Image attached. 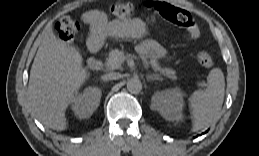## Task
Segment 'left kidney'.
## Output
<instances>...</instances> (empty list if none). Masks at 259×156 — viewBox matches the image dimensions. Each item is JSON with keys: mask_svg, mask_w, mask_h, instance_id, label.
I'll use <instances>...</instances> for the list:
<instances>
[{"mask_svg": "<svg viewBox=\"0 0 259 156\" xmlns=\"http://www.w3.org/2000/svg\"><path fill=\"white\" fill-rule=\"evenodd\" d=\"M183 95L179 88L156 92L152 97V107L166 120L180 121L183 118Z\"/></svg>", "mask_w": 259, "mask_h": 156, "instance_id": "5707ae66", "label": "left kidney"}]
</instances>
